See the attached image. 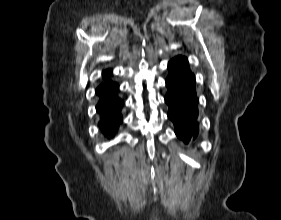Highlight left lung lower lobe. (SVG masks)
<instances>
[{
	"label": "left lung lower lobe",
	"mask_w": 281,
	"mask_h": 220,
	"mask_svg": "<svg viewBox=\"0 0 281 220\" xmlns=\"http://www.w3.org/2000/svg\"><path fill=\"white\" fill-rule=\"evenodd\" d=\"M168 68V92L165 96L169 106L168 118L173 121L178 138L188 144L196 139L199 132L195 76L190 71L187 58L183 56L173 58Z\"/></svg>",
	"instance_id": "1"
}]
</instances>
